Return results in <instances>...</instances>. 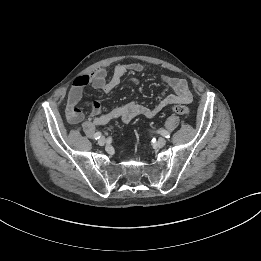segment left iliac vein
Listing matches in <instances>:
<instances>
[{"mask_svg": "<svg viewBox=\"0 0 261 261\" xmlns=\"http://www.w3.org/2000/svg\"><path fill=\"white\" fill-rule=\"evenodd\" d=\"M166 144V140L164 138H159L158 141H157V145L159 147H163L164 145Z\"/></svg>", "mask_w": 261, "mask_h": 261, "instance_id": "4c4485c4", "label": "left iliac vein"}]
</instances>
